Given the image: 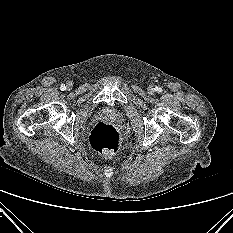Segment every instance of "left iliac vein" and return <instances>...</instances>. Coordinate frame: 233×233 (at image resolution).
Returning a JSON list of instances; mask_svg holds the SVG:
<instances>
[{
	"label": "left iliac vein",
	"instance_id": "4c4485c4",
	"mask_svg": "<svg viewBox=\"0 0 233 233\" xmlns=\"http://www.w3.org/2000/svg\"><path fill=\"white\" fill-rule=\"evenodd\" d=\"M148 91H149V93L152 94V93H154L155 89L153 87H149Z\"/></svg>",
	"mask_w": 233,
	"mask_h": 233
}]
</instances>
